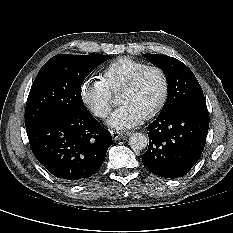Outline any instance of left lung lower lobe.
Returning a JSON list of instances; mask_svg holds the SVG:
<instances>
[{"mask_svg":"<svg viewBox=\"0 0 233 233\" xmlns=\"http://www.w3.org/2000/svg\"><path fill=\"white\" fill-rule=\"evenodd\" d=\"M209 128L206 106L186 105L159 114L147 130L149 147L141 156L154 174L178 178L199 160Z\"/></svg>","mask_w":233,"mask_h":233,"instance_id":"obj_1","label":"left lung lower lobe"}]
</instances>
